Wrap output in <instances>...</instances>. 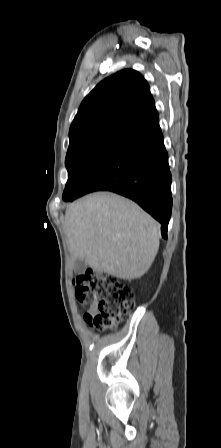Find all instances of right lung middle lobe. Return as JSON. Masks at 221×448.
Here are the masks:
<instances>
[{
    "instance_id": "right-lung-middle-lobe-1",
    "label": "right lung middle lobe",
    "mask_w": 221,
    "mask_h": 448,
    "mask_svg": "<svg viewBox=\"0 0 221 448\" xmlns=\"http://www.w3.org/2000/svg\"><path fill=\"white\" fill-rule=\"evenodd\" d=\"M116 142H96L72 150L66 155L68 181L63 193V200L70 201L78 196L82 186L100 164Z\"/></svg>"
}]
</instances>
